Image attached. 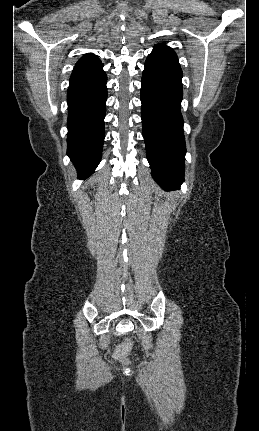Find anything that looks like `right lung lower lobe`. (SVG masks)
<instances>
[{
    "mask_svg": "<svg viewBox=\"0 0 259 431\" xmlns=\"http://www.w3.org/2000/svg\"><path fill=\"white\" fill-rule=\"evenodd\" d=\"M107 76L103 64L74 70L67 93V154L78 170L88 177L101 160L104 142Z\"/></svg>",
    "mask_w": 259,
    "mask_h": 431,
    "instance_id": "obj_1",
    "label": "right lung lower lobe"
}]
</instances>
